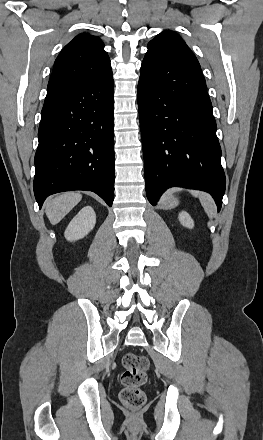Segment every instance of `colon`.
<instances>
[{
	"mask_svg": "<svg viewBox=\"0 0 263 440\" xmlns=\"http://www.w3.org/2000/svg\"><path fill=\"white\" fill-rule=\"evenodd\" d=\"M120 381L123 388L119 398L121 403L130 409H141L146 404V394L142 386L147 381L149 360L137 353H127L122 359Z\"/></svg>",
	"mask_w": 263,
	"mask_h": 440,
	"instance_id": "1",
	"label": "colon"
}]
</instances>
